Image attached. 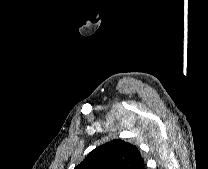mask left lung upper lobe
<instances>
[{
    "instance_id": "left-lung-upper-lobe-1",
    "label": "left lung upper lobe",
    "mask_w": 208,
    "mask_h": 169,
    "mask_svg": "<svg viewBox=\"0 0 208 169\" xmlns=\"http://www.w3.org/2000/svg\"><path fill=\"white\" fill-rule=\"evenodd\" d=\"M74 169H145L135 145L114 139L92 150Z\"/></svg>"
}]
</instances>
